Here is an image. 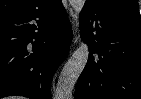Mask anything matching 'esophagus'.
<instances>
[{
    "mask_svg": "<svg viewBox=\"0 0 141 99\" xmlns=\"http://www.w3.org/2000/svg\"><path fill=\"white\" fill-rule=\"evenodd\" d=\"M70 14H71L72 22L75 23L77 19L76 13L71 10Z\"/></svg>",
    "mask_w": 141,
    "mask_h": 99,
    "instance_id": "1",
    "label": "esophagus"
}]
</instances>
